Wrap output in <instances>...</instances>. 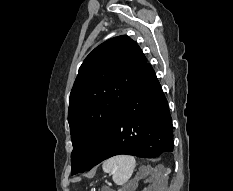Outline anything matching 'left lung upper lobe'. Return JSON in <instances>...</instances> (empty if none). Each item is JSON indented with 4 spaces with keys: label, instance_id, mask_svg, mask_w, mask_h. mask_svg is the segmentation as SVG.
Segmentation results:
<instances>
[{
    "label": "left lung upper lobe",
    "instance_id": "5c2ea615",
    "mask_svg": "<svg viewBox=\"0 0 233 191\" xmlns=\"http://www.w3.org/2000/svg\"><path fill=\"white\" fill-rule=\"evenodd\" d=\"M146 64L140 47L126 35L105 41L86 57L70 93L72 175L90 164Z\"/></svg>",
    "mask_w": 233,
    "mask_h": 191
}]
</instances>
